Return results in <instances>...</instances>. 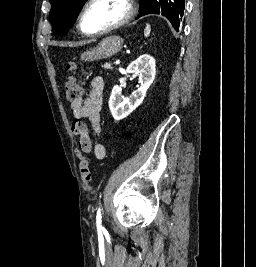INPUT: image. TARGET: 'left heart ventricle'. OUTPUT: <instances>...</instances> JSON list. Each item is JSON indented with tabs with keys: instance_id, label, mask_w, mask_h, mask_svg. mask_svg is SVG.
Here are the masks:
<instances>
[{
	"instance_id": "left-heart-ventricle-1",
	"label": "left heart ventricle",
	"mask_w": 256,
	"mask_h": 267,
	"mask_svg": "<svg viewBox=\"0 0 256 267\" xmlns=\"http://www.w3.org/2000/svg\"><path fill=\"white\" fill-rule=\"evenodd\" d=\"M125 10L112 0L95 2L83 14V26L89 32L107 29L123 18Z\"/></svg>"
}]
</instances>
